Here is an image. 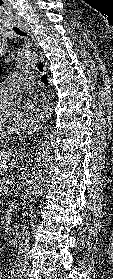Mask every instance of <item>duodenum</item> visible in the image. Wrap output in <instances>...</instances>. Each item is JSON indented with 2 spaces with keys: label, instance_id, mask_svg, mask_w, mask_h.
<instances>
[{
  "label": "duodenum",
  "instance_id": "obj_1",
  "mask_svg": "<svg viewBox=\"0 0 113 279\" xmlns=\"http://www.w3.org/2000/svg\"><path fill=\"white\" fill-rule=\"evenodd\" d=\"M21 238V227L19 224H13L10 229V239L11 241L18 245Z\"/></svg>",
  "mask_w": 113,
  "mask_h": 279
}]
</instances>
